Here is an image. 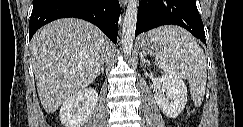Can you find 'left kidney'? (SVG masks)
I'll return each mask as SVG.
<instances>
[{
  "instance_id": "obj_1",
  "label": "left kidney",
  "mask_w": 243,
  "mask_h": 127,
  "mask_svg": "<svg viewBox=\"0 0 243 127\" xmlns=\"http://www.w3.org/2000/svg\"><path fill=\"white\" fill-rule=\"evenodd\" d=\"M187 92L186 84L180 77L163 75L154 98L165 116L176 118L187 103Z\"/></svg>"
}]
</instances>
